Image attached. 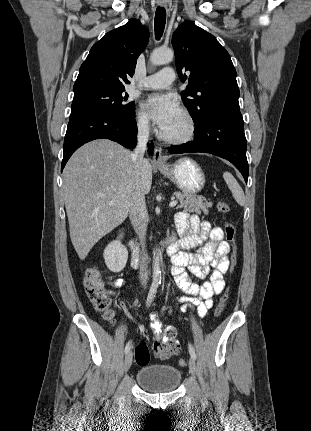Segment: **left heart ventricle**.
I'll list each match as a JSON object with an SVG mask.
<instances>
[{"label": "left heart ventricle", "mask_w": 311, "mask_h": 431, "mask_svg": "<svg viewBox=\"0 0 311 431\" xmlns=\"http://www.w3.org/2000/svg\"><path fill=\"white\" fill-rule=\"evenodd\" d=\"M188 130L189 123L180 113L178 118L163 131V134L167 137H175L186 134Z\"/></svg>", "instance_id": "obj_1"}]
</instances>
